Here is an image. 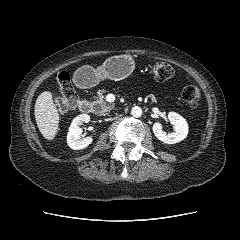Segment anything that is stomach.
I'll use <instances>...</instances> for the list:
<instances>
[{"label": "stomach", "instance_id": "obj_1", "mask_svg": "<svg viewBox=\"0 0 240 240\" xmlns=\"http://www.w3.org/2000/svg\"><path fill=\"white\" fill-rule=\"evenodd\" d=\"M133 60L127 56H112L97 69L90 66H83L76 71V76L87 82L88 85H95L101 79L122 80L133 71Z\"/></svg>", "mask_w": 240, "mask_h": 240}]
</instances>
